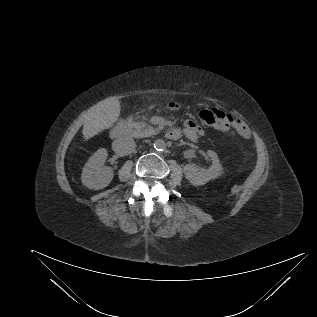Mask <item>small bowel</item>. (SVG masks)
Segmentation results:
<instances>
[{
  "label": "small bowel",
  "mask_w": 317,
  "mask_h": 317,
  "mask_svg": "<svg viewBox=\"0 0 317 317\" xmlns=\"http://www.w3.org/2000/svg\"><path fill=\"white\" fill-rule=\"evenodd\" d=\"M220 112L222 113V118H221V124L218 125L217 127L218 129L227 130L229 128H234L241 136L243 137L249 136V129L243 120L237 117H232L223 111H220ZM176 131H177V138L181 134H184L192 142H196L197 139L200 136H202L204 133L203 129L192 120H187L184 124L183 129L181 131L179 130H176Z\"/></svg>",
  "instance_id": "small-bowel-1"
}]
</instances>
